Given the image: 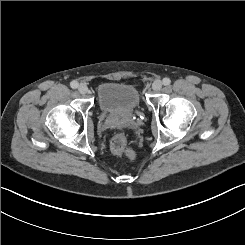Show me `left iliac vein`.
<instances>
[{"mask_svg":"<svg viewBox=\"0 0 245 245\" xmlns=\"http://www.w3.org/2000/svg\"><path fill=\"white\" fill-rule=\"evenodd\" d=\"M162 88V82L160 80H155L152 84V89L155 92H158Z\"/></svg>","mask_w":245,"mask_h":245,"instance_id":"obj_1","label":"left iliac vein"}]
</instances>
